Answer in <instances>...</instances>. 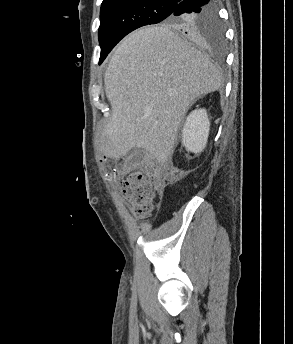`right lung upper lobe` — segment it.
<instances>
[{"mask_svg": "<svg viewBox=\"0 0 293 344\" xmlns=\"http://www.w3.org/2000/svg\"><path fill=\"white\" fill-rule=\"evenodd\" d=\"M114 1L118 2V1H124V0H103L102 3H109V2H114ZM162 1H169V2H172V3H177V2H179L181 0H162Z\"/></svg>", "mask_w": 293, "mask_h": 344, "instance_id": "cb5924a9", "label": "right lung upper lobe"}]
</instances>
